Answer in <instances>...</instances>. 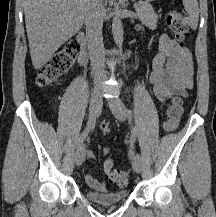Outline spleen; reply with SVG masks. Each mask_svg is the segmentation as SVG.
<instances>
[{"label":"spleen","instance_id":"1","mask_svg":"<svg viewBox=\"0 0 216 217\" xmlns=\"http://www.w3.org/2000/svg\"><path fill=\"white\" fill-rule=\"evenodd\" d=\"M187 13L186 22L192 28L196 29L199 20V6L197 0H182Z\"/></svg>","mask_w":216,"mask_h":217}]
</instances>
